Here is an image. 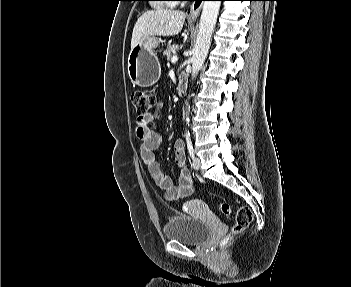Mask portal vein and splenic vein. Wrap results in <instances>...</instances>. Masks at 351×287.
Returning <instances> with one entry per match:
<instances>
[{
	"label": "portal vein and splenic vein",
	"mask_w": 351,
	"mask_h": 287,
	"mask_svg": "<svg viewBox=\"0 0 351 287\" xmlns=\"http://www.w3.org/2000/svg\"><path fill=\"white\" fill-rule=\"evenodd\" d=\"M177 60H178L177 55H175V56H173V57L171 58V62H172V63H175Z\"/></svg>",
	"instance_id": "portal-vein-and-splenic-vein-1"
}]
</instances>
